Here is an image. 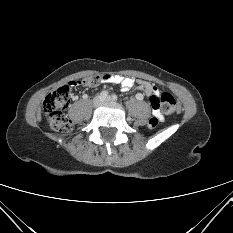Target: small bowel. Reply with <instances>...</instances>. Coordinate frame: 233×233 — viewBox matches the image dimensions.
<instances>
[{"instance_id": "c3829d8e", "label": "small bowel", "mask_w": 233, "mask_h": 233, "mask_svg": "<svg viewBox=\"0 0 233 233\" xmlns=\"http://www.w3.org/2000/svg\"><path fill=\"white\" fill-rule=\"evenodd\" d=\"M98 78L102 83H107V82L116 83V84L120 83L121 89L124 92L128 91L135 83V81L132 78L122 77V76L113 75V74H102ZM84 84H85V81L82 78L71 79L68 81V86L70 89L83 88ZM139 84L141 85L144 94L150 98V102H151V99L159 96V90L155 85L149 82H144V81H139ZM143 97H144L143 93L136 94V98L138 100H142ZM152 108H153V115L158 119V121L159 122L163 121V116L160 110L153 105H152Z\"/></svg>"}]
</instances>
